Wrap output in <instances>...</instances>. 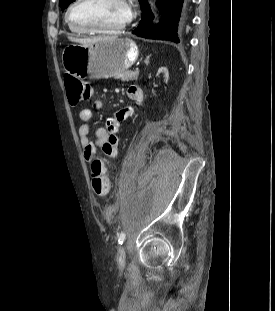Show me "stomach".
Listing matches in <instances>:
<instances>
[{
	"instance_id": "0dacf381",
	"label": "stomach",
	"mask_w": 275,
	"mask_h": 311,
	"mask_svg": "<svg viewBox=\"0 0 275 311\" xmlns=\"http://www.w3.org/2000/svg\"><path fill=\"white\" fill-rule=\"evenodd\" d=\"M139 50L131 39L116 38L95 43L69 44L62 52L66 73L79 79L117 77L138 59Z\"/></svg>"
}]
</instances>
